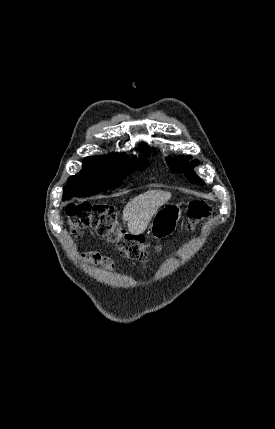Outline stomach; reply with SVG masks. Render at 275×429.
I'll use <instances>...</instances> for the list:
<instances>
[{
  "mask_svg": "<svg viewBox=\"0 0 275 429\" xmlns=\"http://www.w3.org/2000/svg\"><path fill=\"white\" fill-rule=\"evenodd\" d=\"M181 213L178 204H169L157 211L150 224L151 235L157 239L171 235L176 230Z\"/></svg>",
  "mask_w": 275,
  "mask_h": 429,
  "instance_id": "obj_1",
  "label": "stomach"
}]
</instances>
